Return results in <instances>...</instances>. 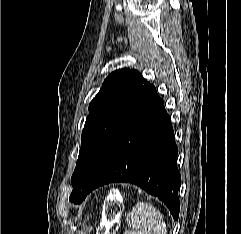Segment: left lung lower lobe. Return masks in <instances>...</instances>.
I'll list each match as a JSON object with an SVG mask.
<instances>
[{
    "label": "left lung lower lobe",
    "instance_id": "obj_1",
    "mask_svg": "<svg viewBox=\"0 0 241 234\" xmlns=\"http://www.w3.org/2000/svg\"><path fill=\"white\" fill-rule=\"evenodd\" d=\"M177 154L170 117L151 85L112 141L86 196L104 184L134 183L163 201L177 220L181 184Z\"/></svg>",
    "mask_w": 241,
    "mask_h": 234
}]
</instances>
